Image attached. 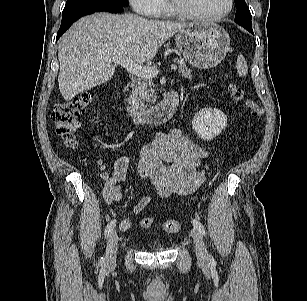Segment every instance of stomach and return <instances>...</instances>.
I'll return each mask as SVG.
<instances>
[{"label": "stomach", "mask_w": 307, "mask_h": 301, "mask_svg": "<svg viewBox=\"0 0 307 301\" xmlns=\"http://www.w3.org/2000/svg\"><path fill=\"white\" fill-rule=\"evenodd\" d=\"M176 46L192 66L205 69L218 65L224 59L230 37L216 24H189L176 35Z\"/></svg>", "instance_id": "1"}]
</instances>
